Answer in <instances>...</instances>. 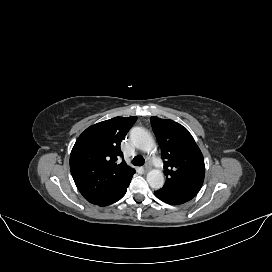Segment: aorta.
<instances>
[{
	"mask_svg": "<svg viewBox=\"0 0 272 272\" xmlns=\"http://www.w3.org/2000/svg\"><path fill=\"white\" fill-rule=\"evenodd\" d=\"M130 139L139 150L150 152L155 147L151 134L142 127H134L130 130ZM147 182L153 189H160L164 185V175L161 170L153 169L147 174Z\"/></svg>",
	"mask_w": 272,
	"mask_h": 272,
	"instance_id": "aorta-1",
	"label": "aorta"
}]
</instances>
